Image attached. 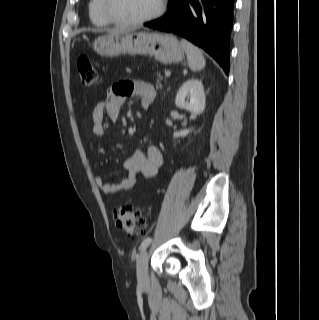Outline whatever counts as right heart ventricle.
<instances>
[{
    "label": "right heart ventricle",
    "instance_id": "right-heart-ventricle-1",
    "mask_svg": "<svg viewBox=\"0 0 319 320\" xmlns=\"http://www.w3.org/2000/svg\"><path fill=\"white\" fill-rule=\"evenodd\" d=\"M89 15L90 19L96 26L105 27L112 24L103 12L102 0H90Z\"/></svg>",
    "mask_w": 319,
    "mask_h": 320
}]
</instances>
